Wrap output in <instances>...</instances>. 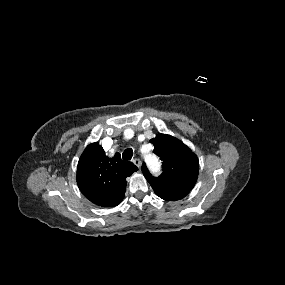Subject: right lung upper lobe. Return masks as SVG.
<instances>
[{
  "label": "right lung upper lobe",
  "instance_id": "1",
  "mask_svg": "<svg viewBox=\"0 0 285 285\" xmlns=\"http://www.w3.org/2000/svg\"><path fill=\"white\" fill-rule=\"evenodd\" d=\"M138 168L132 162L121 160L117 152L110 158L98 142L89 144L77 166V184L82 194L102 207L121 203L126 189V178Z\"/></svg>",
  "mask_w": 285,
  "mask_h": 285
}]
</instances>
